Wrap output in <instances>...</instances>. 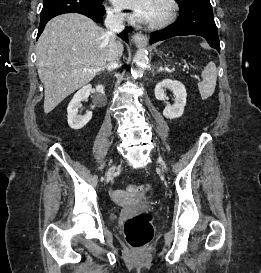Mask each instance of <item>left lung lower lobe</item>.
Returning <instances> with one entry per match:
<instances>
[{
  "label": "left lung lower lobe",
  "mask_w": 261,
  "mask_h": 273,
  "mask_svg": "<svg viewBox=\"0 0 261 273\" xmlns=\"http://www.w3.org/2000/svg\"><path fill=\"white\" fill-rule=\"evenodd\" d=\"M180 15L176 23L150 34V43L174 36L198 35L220 53L218 31L209 0H189L179 5Z\"/></svg>",
  "instance_id": "0a47b994"
}]
</instances>
